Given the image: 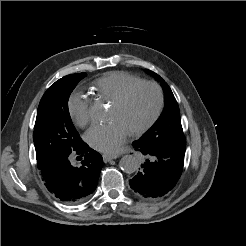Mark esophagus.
Wrapping results in <instances>:
<instances>
[{"mask_svg": "<svg viewBox=\"0 0 246 246\" xmlns=\"http://www.w3.org/2000/svg\"><path fill=\"white\" fill-rule=\"evenodd\" d=\"M102 157H103V161L107 163V162H109V161H111L113 159H116L118 157V155H115V154H103Z\"/></svg>", "mask_w": 246, "mask_h": 246, "instance_id": "34e87169", "label": "esophagus"}]
</instances>
